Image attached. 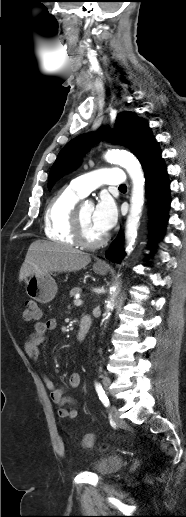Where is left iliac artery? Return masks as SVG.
<instances>
[{"mask_svg": "<svg viewBox=\"0 0 186 517\" xmlns=\"http://www.w3.org/2000/svg\"><path fill=\"white\" fill-rule=\"evenodd\" d=\"M96 391L98 393L99 399L101 402L108 407L109 406V399L107 395L105 394V391L103 390L102 386L99 383H95Z\"/></svg>", "mask_w": 186, "mask_h": 517, "instance_id": "44dca946", "label": "left iliac artery"}]
</instances>
